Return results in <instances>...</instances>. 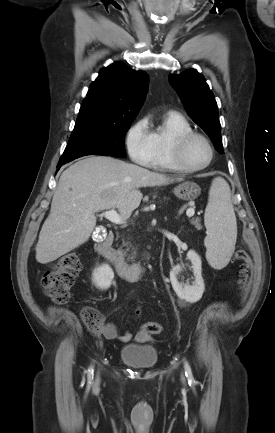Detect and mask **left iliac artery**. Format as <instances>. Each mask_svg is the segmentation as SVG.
I'll return each instance as SVG.
<instances>
[{"label":"left iliac artery","instance_id":"1","mask_svg":"<svg viewBox=\"0 0 275 433\" xmlns=\"http://www.w3.org/2000/svg\"><path fill=\"white\" fill-rule=\"evenodd\" d=\"M184 368H185V375L188 378V381L192 382L193 375H192L191 367L187 361H184Z\"/></svg>","mask_w":275,"mask_h":433}]
</instances>
